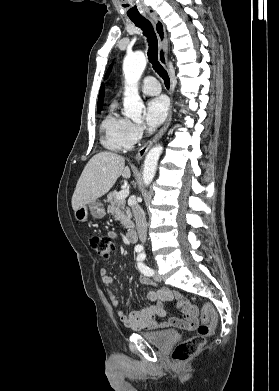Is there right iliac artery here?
Segmentation results:
<instances>
[{"label":"right iliac artery","instance_id":"82829eb1","mask_svg":"<svg viewBox=\"0 0 279 391\" xmlns=\"http://www.w3.org/2000/svg\"><path fill=\"white\" fill-rule=\"evenodd\" d=\"M135 250H136V252H140L142 249L137 247V248H135Z\"/></svg>","mask_w":279,"mask_h":391}]
</instances>
